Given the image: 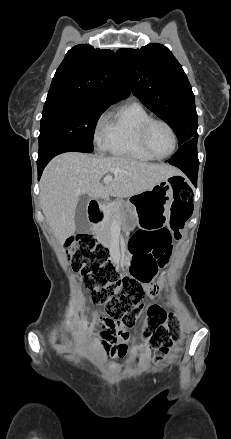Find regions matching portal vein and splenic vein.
<instances>
[{
	"instance_id": "portal-vein-and-splenic-vein-1",
	"label": "portal vein and splenic vein",
	"mask_w": 231,
	"mask_h": 439,
	"mask_svg": "<svg viewBox=\"0 0 231 439\" xmlns=\"http://www.w3.org/2000/svg\"><path fill=\"white\" fill-rule=\"evenodd\" d=\"M111 181H112V177H111V176H105L104 179H103V182H104L105 184H108V183H110Z\"/></svg>"
}]
</instances>
